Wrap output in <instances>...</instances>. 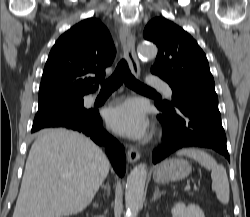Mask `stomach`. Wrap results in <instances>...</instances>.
<instances>
[{"label": "stomach", "instance_id": "obj_1", "mask_svg": "<svg viewBox=\"0 0 250 217\" xmlns=\"http://www.w3.org/2000/svg\"><path fill=\"white\" fill-rule=\"evenodd\" d=\"M192 171L190 163L184 159H169L159 164L153 173V179L156 183H168L179 181Z\"/></svg>", "mask_w": 250, "mask_h": 217}]
</instances>
